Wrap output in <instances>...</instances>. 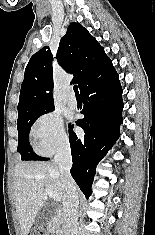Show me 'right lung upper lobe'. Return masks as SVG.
Instances as JSON below:
<instances>
[{"mask_svg": "<svg viewBox=\"0 0 155 235\" xmlns=\"http://www.w3.org/2000/svg\"><path fill=\"white\" fill-rule=\"evenodd\" d=\"M57 61L68 73L74 75L80 91L89 83L114 70L112 61L88 30L73 22L61 38ZM52 54L48 46L29 60L21 85L18 116L54 109Z\"/></svg>", "mask_w": 155, "mask_h": 235, "instance_id": "1", "label": "right lung upper lobe"}]
</instances>
